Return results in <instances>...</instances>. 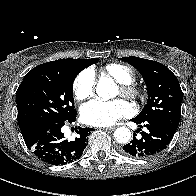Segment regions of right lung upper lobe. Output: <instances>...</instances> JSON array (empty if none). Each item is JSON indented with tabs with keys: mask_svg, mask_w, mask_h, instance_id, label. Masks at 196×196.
I'll use <instances>...</instances> for the list:
<instances>
[{
	"mask_svg": "<svg viewBox=\"0 0 196 196\" xmlns=\"http://www.w3.org/2000/svg\"><path fill=\"white\" fill-rule=\"evenodd\" d=\"M98 60L99 59H97V58H93V59H72V58H68V59H60V60H56V61L47 62V63H44V64L65 63V64L73 65V66L77 67L79 70L82 71L86 67L97 63Z\"/></svg>",
	"mask_w": 196,
	"mask_h": 196,
	"instance_id": "cb5924a9",
	"label": "right lung upper lobe"
}]
</instances>
